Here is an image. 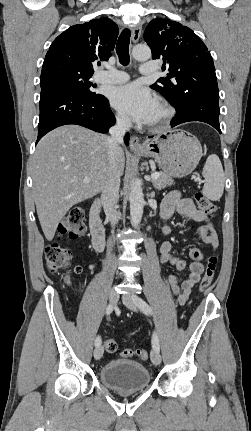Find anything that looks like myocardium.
Wrapping results in <instances>:
<instances>
[{
  "label": "myocardium",
  "mask_w": 251,
  "mask_h": 431,
  "mask_svg": "<svg viewBox=\"0 0 251 431\" xmlns=\"http://www.w3.org/2000/svg\"><path fill=\"white\" fill-rule=\"evenodd\" d=\"M158 107L160 116L148 123V129L152 132H159L167 128L175 116V110L169 103L161 101Z\"/></svg>",
  "instance_id": "f54148a6"
}]
</instances>
